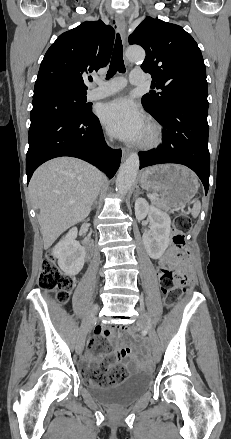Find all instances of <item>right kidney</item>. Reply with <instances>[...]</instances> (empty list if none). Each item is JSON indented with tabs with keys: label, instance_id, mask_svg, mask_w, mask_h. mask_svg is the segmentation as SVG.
Masks as SVG:
<instances>
[{
	"label": "right kidney",
	"instance_id": "obj_1",
	"mask_svg": "<svg viewBox=\"0 0 231 439\" xmlns=\"http://www.w3.org/2000/svg\"><path fill=\"white\" fill-rule=\"evenodd\" d=\"M76 237L77 228H72L52 251L59 267L68 276L78 274L84 265L85 249L75 240Z\"/></svg>",
	"mask_w": 231,
	"mask_h": 439
}]
</instances>
